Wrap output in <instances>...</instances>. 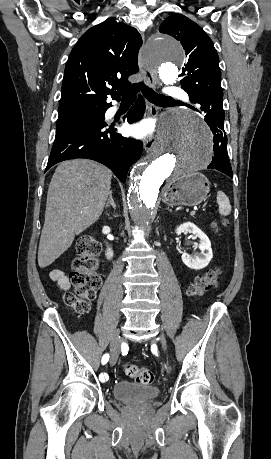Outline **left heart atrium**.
<instances>
[{
	"label": "left heart atrium",
	"mask_w": 271,
	"mask_h": 459,
	"mask_svg": "<svg viewBox=\"0 0 271 459\" xmlns=\"http://www.w3.org/2000/svg\"><path fill=\"white\" fill-rule=\"evenodd\" d=\"M154 129V121L151 119H145L133 125L131 127V133L136 138L147 139L153 135Z\"/></svg>",
	"instance_id": "left-heart-atrium-1"
}]
</instances>
